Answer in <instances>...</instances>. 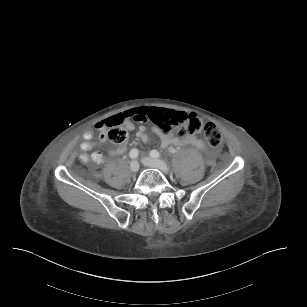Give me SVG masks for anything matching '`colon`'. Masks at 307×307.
I'll return each instance as SVG.
<instances>
[{
    "mask_svg": "<svg viewBox=\"0 0 307 307\" xmlns=\"http://www.w3.org/2000/svg\"><path fill=\"white\" fill-rule=\"evenodd\" d=\"M146 116L150 123L164 135L175 131L180 136H186L202 130L211 147L221 146L222 136L219 129L212 123L203 124L193 114L154 109ZM123 121L124 118L106 119L98 124V129L109 142L122 144L127 138V130L121 126Z\"/></svg>",
    "mask_w": 307,
    "mask_h": 307,
    "instance_id": "obj_1",
    "label": "colon"
}]
</instances>
